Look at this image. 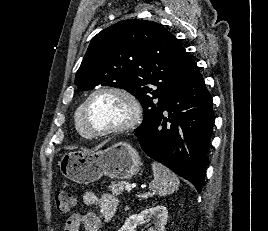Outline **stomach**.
Returning a JSON list of instances; mask_svg holds the SVG:
<instances>
[{
  "label": "stomach",
  "instance_id": "stomach-1",
  "mask_svg": "<svg viewBox=\"0 0 268 231\" xmlns=\"http://www.w3.org/2000/svg\"><path fill=\"white\" fill-rule=\"evenodd\" d=\"M58 166L65 178L89 184L102 176L121 180L132 178L139 172L141 161L130 144L119 142L105 150L65 153Z\"/></svg>",
  "mask_w": 268,
  "mask_h": 231
}]
</instances>
